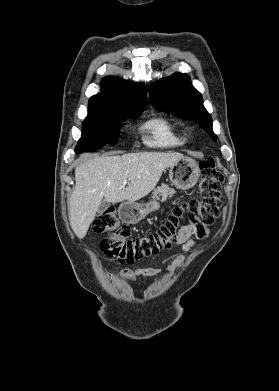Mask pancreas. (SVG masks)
Masks as SVG:
<instances>
[{
	"mask_svg": "<svg viewBox=\"0 0 279 391\" xmlns=\"http://www.w3.org/2000/svg\"><path fill=\"white\" fill-rule=\"evenodd\" d=\"M175 194V190L169 188L167 185L162 184L161 186H158L152 193L153 199H159L162 198L163 201H165L168 197H172Z\"/></svg>",
	"mask_w": 279,
	"mask_h": 391,
	"instance_id": "1",
	"label": "pancreas"
}]
</instances>
